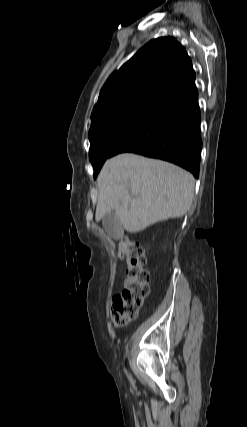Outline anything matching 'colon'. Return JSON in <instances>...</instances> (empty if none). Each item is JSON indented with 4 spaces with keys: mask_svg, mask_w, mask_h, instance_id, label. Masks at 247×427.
<instances>
[{
    "mask_svg": "<svg viewBox=\"0 0 247 427\" xmlns=\"http://www.w3.org/2000/svg\"><path fill=\"white\" fill-rule=\"evenodd\" d=\"M118 252L119 256L127 261L124 289L112 300V320L119 327L129 323L138 315L149 293V273L145 269L144 249L139 243L123 237L119 240Z\"/></svg>",
    "mask_w": 247,
    "mask_h": 427,
    "instance_id": "1",
    "label": "colon"
}]
</instances>
